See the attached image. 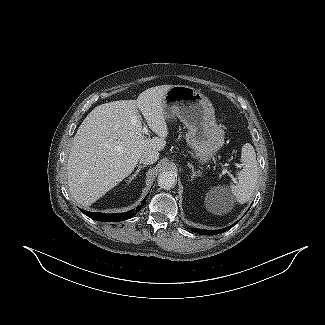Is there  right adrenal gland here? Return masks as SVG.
<instances>
[{"mask_svg": "<svg viewBox=\"0 0 325 325\" xmlns=\"http://www.w3.org/2000/svg\"><path fill=\"white\" fill-rule=\"evenodd\" d=\"M146 167L145 165H139L135 173L129 178V183L139 174L142 168Z\"/></svg>", "mask_w": 325, "mask_h": 325, "instance_id": "1", "label": "right adrenal gland"}]
</instances>
